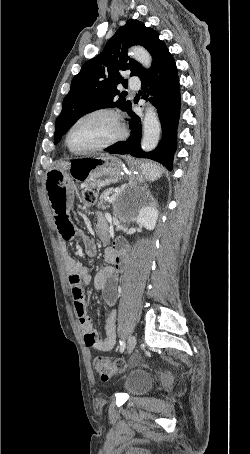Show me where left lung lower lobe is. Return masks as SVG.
<instances>
[{
	"label": "left lung lower lobe",
	"instance_id": "left-lung-lower-lobe-1",
	"mask_svg": "<svg viewBox=\"0 0 250 454\" xmlns=\"http://www.w3.org/2000/svg\"><path fill=\"white\" fill-rule=\"evenodd\" d=\"M143 98L151 95V102L156 107L162 125L163 136L156 149L150 152L142 151L140 118L132 112L129 126L131 135L125 142H117L106 149L111 154H130L134 157L148 158L163 164L172 170L174 153L176 151L177 127L180 116L181 97L177 68L170 53L166 54L152 71L141 78Z\"/></svg>",
	"mask_w": 250,
	"mask_h": 454
}]
</instances>
